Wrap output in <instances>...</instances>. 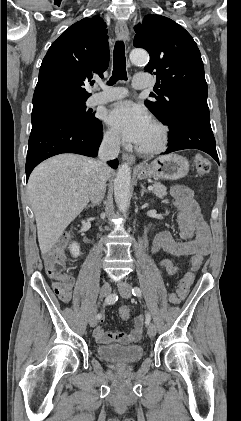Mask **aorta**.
Instances as JSON below:
<instances>
[{"label": "aorta", "instance_id": "aorta-1", "mask_svg": "<svg viewBox=\"0 0 241 421\" xmlns=\"http://www.w3.org/2000/svg\"><path fill=\"white\" fill-rule=\"evenodd\" d=\"M130 60L135 65L147 64L149 55L144 49H134L130 53ZM131 167L128 163L120 166L114 180V197L117 207L125 213L130 203Z\"/></svg>", "mask_w": 241, "mask_h": 421}]
</instances>
